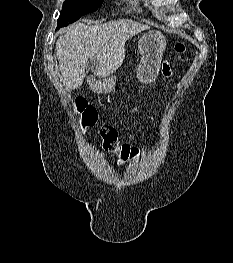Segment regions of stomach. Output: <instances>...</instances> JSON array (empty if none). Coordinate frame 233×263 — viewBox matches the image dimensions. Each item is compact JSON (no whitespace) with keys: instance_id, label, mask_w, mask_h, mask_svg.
I'll list each match as a JSON object with an SVG mask.
<instances>
[{"instance_id":"1","label":"stomach","mask_w":233,"mask_h":263,"mask_svg":"<svg viewBox=\"0 0 233 263\" xmlns=\"http://www.w3.org/2000/svg\"><path fill=\"white\" fill-rule=\"evenodd\" d=\"M166 45L165 37L157 30L149 31L139 39L138 50L141 60L137 69V78L140 82L148 84L156 79ZM90 86L93 91L103 93L119 91L122 88H136L137 84L125 83L116 80L115 77H106L102 81H92Z\"/></svg>"}]
</instances>
